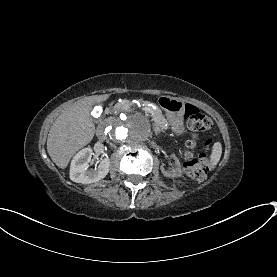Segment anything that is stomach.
<instances>
[{"instance_id": "1", "label": "stomach", "mask_w": 277, "mask_h": 277, "mask_svg": "<svg viewBox=\"0 0 277 277\" xmlns=\"http://www.w3.org/2000/svg\"><path fill=\"white\" fill-rule=\"evenodd\" d=\"M160 107L165 111L169 123L176 128H181L185 113V103L178 98L160 96Z\"/></svg>"}]
</instances>
